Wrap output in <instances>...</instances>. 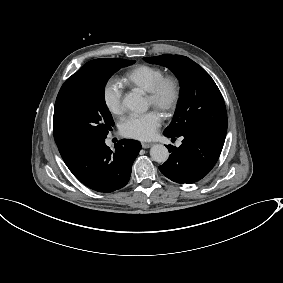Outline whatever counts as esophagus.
I'll list each match as a JSON object with an SVG mask.
<instances>
[{
    "label": "esophagus",
    "mask_w": 283,
    "mask_h": 283,
    "mask_svg": "<svg viewBox=\"0 0 283 283\" xmlns=\"http://www.w3.org/2000/svg\"><path fill=\"white\" fill-rule=\"evenodd\" d=\"M152 146H153L152 143H142V147H143V148H150V147H152Z\"/></svg>",
    "instance_id": "obj_1"
}]
</instances>
